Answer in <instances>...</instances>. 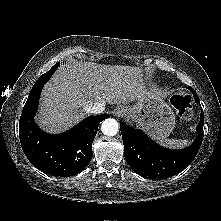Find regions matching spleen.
Instances as JSON below:
<instances>
[{
	"instance_id": "3e777b00",
	"label": "spleen",
	"mask_w": 221,
	"mask_h": 221,
	"mask_svg": "<svg viewBox=\"0 0 221 221\" xmlns=\"http://www.w3.org/2000/svg\"><path fill=\"white\" fill-rule=\"evenodd\" d=\"M161 145L167 146L171 149H179L186 147L189 144L188 140H175V139H164L160 141Z\"/></svg>"
}]
</instances>
